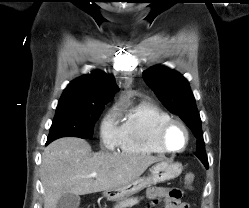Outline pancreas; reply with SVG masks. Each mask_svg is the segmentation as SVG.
<instances>
[{
    "mask_svg": "<svg viewBox=\"0 0 249 208\" xmlns=\"http://www.w3.org/2000/svg\"><path fill=\"white\" fill-rule=\"evenodd\" d=\"M139 203V199L137 197L131 198H122L118 203L114 206V208H131L132 206Z\"/></svg>",
    "mask_w": 249,
    "mask_h": 208,
    "instance_id": "pancreas-1",
    "label": "pancreas"
}]
</instances>
